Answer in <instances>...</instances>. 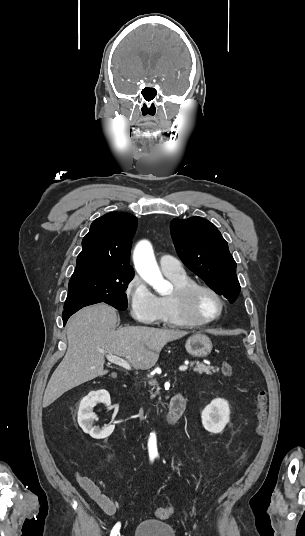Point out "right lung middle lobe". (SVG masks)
<instances>
[{
    "label": "right lung middle lobe",
    "instance_id": "obj_1",
    "mask_svg": "<svg viewBox=\"0 0 305 536\" xmlns=\"http://www.w3.org/2000/svg\"><path fill=\"white\" fill-rule=\"evenodd\" d=\"M134 274H87L72 277L64 310L105 302L118 310L127 309L126 289Z\"/></svg>",
    "mask_w": 305,
    "mask_h": 536
}]
</instances>
